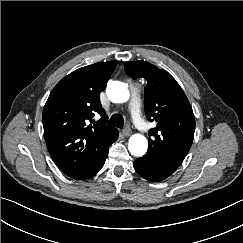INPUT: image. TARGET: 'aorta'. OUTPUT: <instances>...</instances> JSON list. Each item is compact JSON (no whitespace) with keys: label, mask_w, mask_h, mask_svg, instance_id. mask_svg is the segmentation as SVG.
<instances>
[{"label":"aorta","mask_w":243,"mask_h":243,"mask_svg":"<svg viewBox=\"0 0 243 243\" xmlns=\"http://www.w3.org/2000/svg\"><path fill=\"white\" fill-rule=\"evenodd\" d=\"M107 97L111 102L123 103L129 100L130 94L126 84L119 81L109 82L106 88ZM148 148L145 136L134 134L130 137L128 149L133 156H143Z\"/></svg>","instance_id":"762f6f07"}]
</instances>
